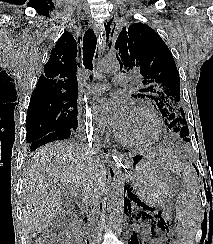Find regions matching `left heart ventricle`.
Instances as JSON below:
<instances>
[{
  "label": "left heart ventricle",
  "mask_w": 213,
  "mask_h": 244,
  "mask_svg": "<svg viewBox=\"0 0 213 244\" xmlns=\"http://www.w3.org/2000/svg\"><path fill=\"white\" fill-rule=\"evenodd\" d=\"M119 134L132 141L146 140L155 134V125L147 114L131 112L128 122Z\"/></svg>",
  "instance_id": "b2bd125f"
}]
</instances>
